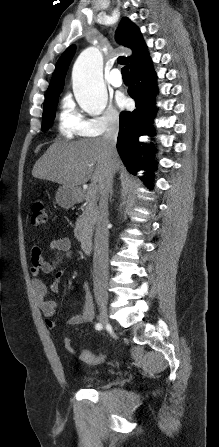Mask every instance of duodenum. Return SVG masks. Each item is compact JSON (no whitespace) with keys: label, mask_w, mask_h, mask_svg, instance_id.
Instances as JSON below:
<instances>
[{"label":"duodenum","mask_w":219,"mask_h":447,"mask_svg":"<svg viewBox=\"0 0 219 447\" xmlns=\"http://www.w3.org/2000/svg\"><path fill=\"white\" fill-rule=\"evenodd\" d=\"M80 247H81L82 252H84L85 254H88L92 247V241L90 239L84 238L80 242Z\"/></svg>","instance_id":"obj_1"}]
</instances>
